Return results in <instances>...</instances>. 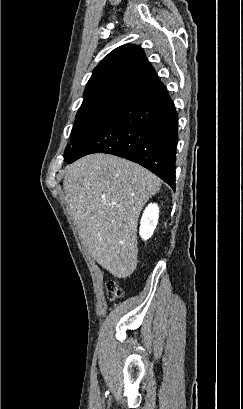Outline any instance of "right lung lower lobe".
<instances>
[{
    "mask_svg": "<svg viewBox=\"0 0 243 409\" xmlns=\"http://www.w3.org/2000/svg\"><path fill=\"white\" fill-rule=\"evenodd\" d=\"M178 115L156 80L125 99L113 115L65 159L108 153L149 169L175 190Z\"/></svg>",
    "mask_w": 243,
    "mask_h": 409,
    "instance_id": "1",
    "label": "right lung lower lobe"
}]
</instances>
